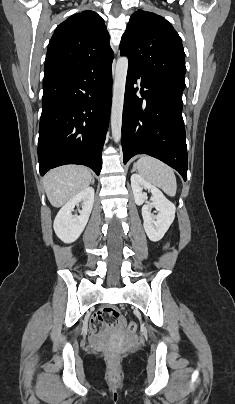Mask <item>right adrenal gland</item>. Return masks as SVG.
<instances>
[{
    "label": "right adrenal gland",
    "instance_id": "right-adrenal-gland-1",
    "mask_svg": "<svg viewBox=\"0 0 235 404\" xmlns=\"http://www.w3.org/2000/svg\"><path fill=\"white\" fill-rule=\"evenodd\" d=\"M94 182H95V180H94V178H93L91 183L94 184Z\"/></svg>",
    "mask_w": 235,
    "mask_h": 404
}]
</instances>
